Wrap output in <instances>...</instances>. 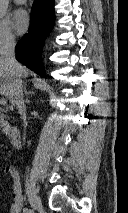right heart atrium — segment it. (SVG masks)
<instances>
[{"mask_svg":"<svg viewBox=\"0 0 128 213\" xmlns=\"http://www.w3.org/2000/svg\"><path fill=\"white\" fill-rule=\"evenodd\" d=\"M16 36L10 27L9 22L0 18V50L14 45Z\"/></svg>","mask_w":128,"mask_h":213,"instance_id":"d8ad5b80","label":"right heart atrium"}]
</instances>
